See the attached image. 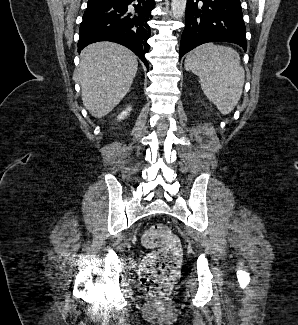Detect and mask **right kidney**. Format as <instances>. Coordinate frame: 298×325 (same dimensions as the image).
<instances>
[{
  "mask_svg": "<svg viewBox=\"0 0 298 325\" xmlns=\"http://www.w3.org/2000/svg\"><path fill=\"white\" fill-rule=\"evenodd\" d=\"M130 110H132V106H128L125 110H122L120 114L117 116V120H122V118H126L127 114H129Z\"/></svg>",
  "mask_w": 298,
  "mask_h": 325,
  "instance_id": "obj_1",
  "label": "right kidney"
}]
</instances>
